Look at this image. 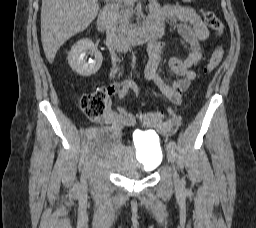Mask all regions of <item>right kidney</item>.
<instances>
[{
    "label": "right kidney",
    "instance_id": "ca27d5eb",
    "mask_svg": "<svg viewBox=\"0 0 256 228\" xmlns=\"http://www.w3.org/2000/svg\"><path fill=\"white\" fill-rule=\"evenodd\" d=\"M94 55V60L87 62L85 56L87 53ZM103 57L100 51L94 46L90 39H81L77 41L68 53V63L73 71L83 77H89L95 74L101 67Z\"/></svg>",
    "mask_w": 256,
    "mask_h": 228
}]
</instances>
